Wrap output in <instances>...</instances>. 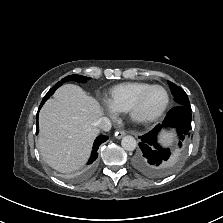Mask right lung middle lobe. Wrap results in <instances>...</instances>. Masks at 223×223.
I'll use <instances>...</instances> for the list:
<instances>
[{"mask_svg": "<svg viewBox=\"0 0 223 223\" xmlns=\"http://www.w3.org/2000/svg\"><path fill=\"white\" fill-rule=\"evenodd\" d=\"M90 77H85V76H80V75H69L65 78H63L60 82H58L57 84H55L49 91L48 93L45 95V97L43 99H48L54 92L55 90L60 87L64 82L67 81H71V80H76L78 82H85L87 80H89Z\"/></svg>", "mask_w": 223, "mask_h": 223, "instance_id": "right-lung-middle-lobe-1", "label": "right lung middle lobe"}]
</instances>
